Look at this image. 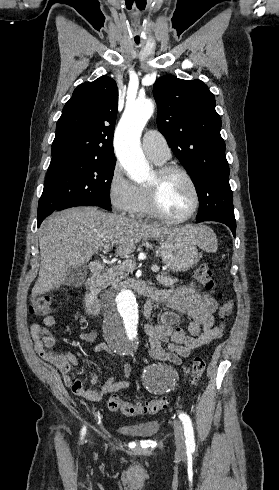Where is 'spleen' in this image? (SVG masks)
I'll return each mask as SVG.
<instances>
[{"label":"spleen","mask_w":279,"mask_h":490,"mask_svg":"<svg viewBox=\"0 0 279 490\" xmlns=\"http://www.w3.org/2000/svg\"><path fill=\"white\" fill-rule=\"evenodd\" d=\"M199 246L201 250H204V252H216L217 240L211 228H206V226L202 228L201 238L199 240Z\"/></svg>","instance_id":"1"}]
</instances>
